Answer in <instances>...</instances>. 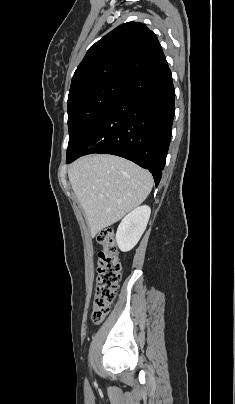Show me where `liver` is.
Listing matches in <instances>:
<instances>
[{"instance_id":"6515ba94","label":"liver","mask_w":235,"mask_h":404,"mask_svg":"<svg viewBox=\"0 0 235 404\" xmlns=\"http://www.w3.org/2000/svg\"><path fill=\"white\" fill-rule=\"evenodd\" d=\"M68 177L92 236L138 207L153 187L150 172L129 160L106 154L78 159L69 167Z\"/></svg>"}]
</instances>
